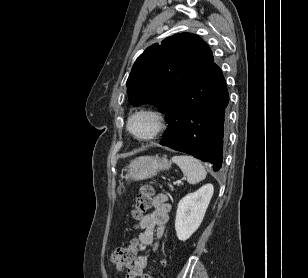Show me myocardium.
I'll return each mask as SVG.
<instances>
[{
    "label": "myocardium",
    "instance_id": "f54148a6",
    "mask_svg": "<svg viewBox=\"0 0 308 278\" xmlns=\"http://www.w3.org/2000/svg\"><path fill=\"white\" fill-rule=\"evenodd\" d=\"M139 115H148L152 117V119L154 120V124H155L152 132L149 135L144 136V137L137 136L131 129L132 120L136 116H139ZM126 128L129 134L136 140L141 141V142H149V141H153L157 139L164 132L166 128V121H165L164 115L160 111L156 109H152V108H141V109L134 111L128 117Z\"/></svg>",
    "mask_w": 308,
    "mask_h": 278
}]
</instances>
